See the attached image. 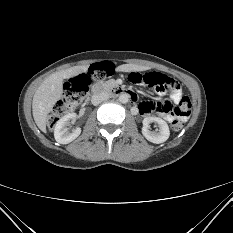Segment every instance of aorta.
I'll return each instance as SVG.
<instances>
[{
  "mask_svg": "<svg viewBox=\"0 0 233 233\" xmlns=\"http://www.w3.org/2000/svg\"><path fill=\"white\" fill-rule=\"evenodd\" d=\"M129 98H130L129 94H127V93H122V94H120V96H119V101H120L121 103L125 104V103H127V102L129 101Z\"/></svg>",
  "mask_w": 233,
  "mask_h": 233,
  "instance_id": "aorta-1",
  "label": "aorta"
}]
</instances>
